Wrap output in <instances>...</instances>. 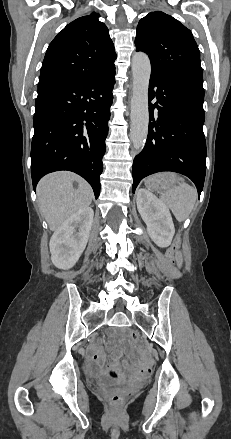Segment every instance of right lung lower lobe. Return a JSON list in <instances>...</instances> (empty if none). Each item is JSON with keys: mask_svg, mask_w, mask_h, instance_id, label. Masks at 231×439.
Listing matches in <instances>:
<instances>
[{"mask_svg": "<svg viewBox=\"0 0 231 439\" xmlns=\"http://www.w3.org/2000/svg\"><path fill=\"white\" fill-rule=\"evenodd\" d=\"M115 66L78 84L38 91L33 118L31 175L34 190L45 174L73 171L100 194Z\"/></svg>", "mask_w": 231, "mask_h": 439, "instance_id": "right-lung-lower-lobe-1", "label": "right lung lower lobe"}]
</instances>
